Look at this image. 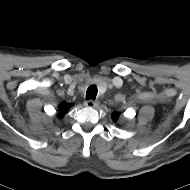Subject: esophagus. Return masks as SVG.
Returning <instances> with one entry per match:
<instances>
[{"instance_id":"obj_1","label":"esophagus","mask_w":190,"mask_h":190,"mask_svg":"<svg viewBox=\"0 0 190 190\" xmlns=\"http://www.w3.org/2000/svg\"><path fill=\"white\" fill-rule=\"evenodd\" d=\"M84 105L86 107H89V108H93V107H96L97 106V102L92 100V99H89L87 101L84 102Z\"/></svg>"}]
</instances>
